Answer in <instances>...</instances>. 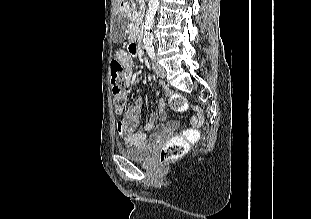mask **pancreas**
<instances>
[{
	"label": "pancreas",
	"mask_w": 311,
	"mask_h": 219,
	"mask_svg": "<svg viewBox=\"0 0 311 219\" xmlns=\"http://www.w3.org/2000/svg\"><path fill=\"white\" fill-rule=\"evenodd\" d=\"M143 12H144V5L140 4L138 6L136 3H134L133 0H131V7L128 10L129 19L131 20L129 31L134 35H137L139 33L143 19Z\"/></svg>",
	"instance_id": "1"
}]
</instances>
